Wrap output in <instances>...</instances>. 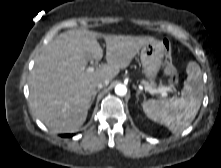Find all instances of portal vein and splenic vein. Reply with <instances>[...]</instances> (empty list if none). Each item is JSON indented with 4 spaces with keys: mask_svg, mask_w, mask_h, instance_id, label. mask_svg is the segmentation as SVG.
<instances>
[{
    "mask_svg": "<svg viewBox=\"0 0 221 168\" xmlns=\"http://www.w3.org/2000/svg\"><path fill=\"white\" fill-rule=\"evenodd\" d=\"M86 71L88 72H93L94 68L93 67H89L86 69ZM145 91H148L151 94H161L162 96H167V90L166 88H162V89H156V88H151L149 86H145L144 87Z\"/></svg>",
    "mask_w": 221,
    "mask_h": 168,
    "instance_id": "1",
    "label": "portal vein and splenic vein"
}]
</instances>
